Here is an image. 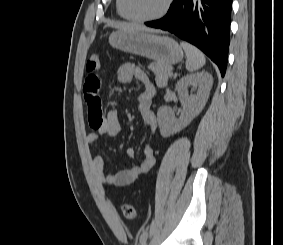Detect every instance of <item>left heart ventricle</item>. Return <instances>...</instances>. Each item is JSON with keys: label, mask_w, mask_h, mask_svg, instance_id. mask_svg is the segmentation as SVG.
Masks as SVG:
<instances>
[{"label": "left heart ventricle", "mask_w": 283, "mask_h": 245, "mask_svg": "<svg viewBox=\"0 0 283 245\" xmlns=\"http://www.w3.org/2000/svg\"><path fill=\"white\" fill-rule=\"evenodd\" d=\"M166 0H128L131 14L137 17H149L157 14Z\"/></svg>", "instance_id": "obj_1"}]
</instances>
